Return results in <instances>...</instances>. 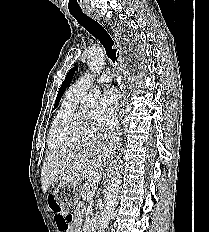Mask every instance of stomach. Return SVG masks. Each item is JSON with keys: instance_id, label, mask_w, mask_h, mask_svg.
Instances as JSON below:
<instances>
[{"instance_id": "obj_1", "label": "stomach", "mask_w": 209, "mask_h": 232, "mask_svg": "<svg viewBox=\"0 0 209 232\" xmlns=\"http://www.w3.org/2000/svg\"><path fill=\"white\" fill-rule=\"evenodd\" d=\"M55 190V201L60 203V207L64 208L74 205L77 203V199H81L84 186H79V182H58Z\"/></svg>"}]
</instances>
